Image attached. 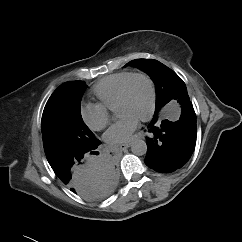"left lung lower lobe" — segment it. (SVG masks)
Here are the masks:
<instances>
[{
  "instance_id": "left-lung-lower-lobe-1",
  "label": "left lung lower lobe",
  "mask_w": 242,
  "mask_h": 242,
  "mask_svg": "<svg viewBox=\"0 0 242 242\" xmlns=\"http://www.w3.org/2000/svg\"><path fill=\"white\" fill-rule=\"evenodd\" d=\"M182 113L177 121L157 122V114L148 125L145 164L161 173L174 172L190 159L196 144V115L189 96L177 99Z\"/></svg>"
}]
</instances>
